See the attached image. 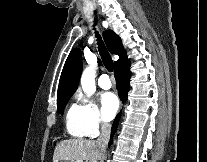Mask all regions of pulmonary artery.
<instances>
[{"instance_id": "e3ab8cb5", "label": "pulmonary artery", "mask_w": 207, "mask_h": 162, "mask_svg": "<svg viewBox=\"0 0 207 162\" xmlns=\"http://www.w3.org/2000/svg\"><path fill=\"white\" fill-rule=\"evenodd\" d=\"M98 85L105 90H108L111 88L112 83L109 79V76L107 74H103L100 76V78L98 79Z\"/></svg>"}]
</instances>
